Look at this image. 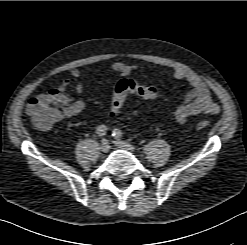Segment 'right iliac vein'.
<instances>
[{"instance_id": "1", "label": "right iliac vein", "mask_w": 247, "mask_h": 245, "mask_svg": "<svg viewBox=\"0 0 247 245\" xmlns=\"http://www.w3.org/2000/svg\"><path fill=\"white\" fill-rule=\"evenodd\" d=\"M110 149V144H109V141L104 139L102 142H101V145H100V150L101 152L103 153H107Z\"/></svg>"}]
</instances>
